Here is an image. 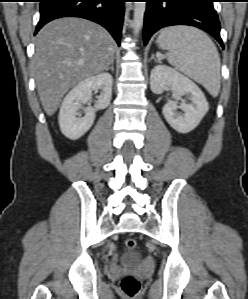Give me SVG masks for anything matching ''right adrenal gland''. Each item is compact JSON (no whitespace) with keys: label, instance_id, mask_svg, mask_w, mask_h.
Listing matches in <instances>:
<instances>
[{"label":"right adrenal gland","instance_id":"right-adrenal-gland-1","mask_svg":"<svg viewBox=\"0 0 248 299\" xmlns=\"http://www.w3.org/2000/svg\"><path fill=\"white\" fill-rule=\"evenodd\" d=\"M110 69H111L112 72L114 71V59L112 60L110 66L106 68V71H108Z\"/></svg>","mask_w":248,"mask_h":299}]
</instances>
